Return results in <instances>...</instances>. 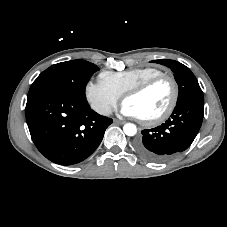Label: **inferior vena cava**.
Instances as JSON below:
<instances>
[{
	"instance_id": "inferior-vena-cava-1",
	"label": "inferior vena cava",
	"mask_w": 227,
	"mask_h": 227,
	"mask_svg": "<svg viewBox=\"0 0 227 227\" xmlns=\"http://www.w3.org/2000/svg\"><path fill=\"white\" fill-rule=\"evenodd\" d=\"M99 113L102 115H111L112 109L110 107H103L99 110Z\"/></svg>"
}]
</instances>
